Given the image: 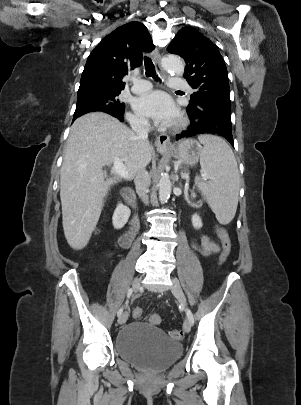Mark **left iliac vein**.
Here are the masks:
<instances>
[{
    "label": "left iliac vein",
    "instance_id": "left-iliac-vein-1",
    "mask_svg": "<svg viewBox=\"0 0 301 405\" xmlns=\"http://www.w3.org/2000/svg\"><path fill=\"white\" fill-rule=\"evenodd\" d=\"M171 291L174 294V296L177 298V300L180 302V304L184 307L187 308V301H186V297L185 294L179 284L178 279L176 278H172V286H171ZM183 330L184 332L188 333L191 330V323L189 318H187L184 321L183 324Z\"/></svg>",
    "mask_w": 301,
    "mask_h": 405
}]
</instances>
